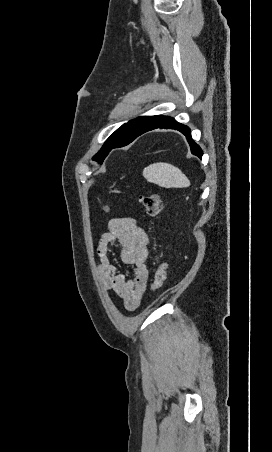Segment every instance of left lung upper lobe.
I'll list each match as a JSON object with an SVG mask.
<instances>
[{
  "mask_svg": "<svg viewBox=\"0 0 272 452\" xmlns=\"http://www.w3.org/2000/svg\"><path fill=\"white\" fill-rule=\"evenodd\" d=\"M156 117L157 116L139 117L122 125L106 140L102 148L96 155L93 156L92 159L94 161L102 163L108 153L111 151V145L114 141L118 140L121 137L126 139L136 136L138 133L148 128L156 119Z\"/></svg>",
  "mask_w": 272,
  "mask_h": 452,
  "instance_id": "1",
  "label": "left lung upper lobe"
}]
</instances>
